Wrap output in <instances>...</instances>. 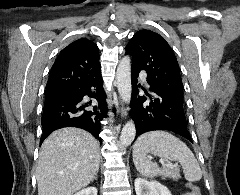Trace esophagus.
<instances>
[{
    "instance_id": "1",
    "label": "esophagus",
    "mask_w": 240,
    "mask_h": 195,
    "mask_svg": "<svg viewBox=\"0 0 240 195\" xmlns=\"http://www.w3.org/2000/svg\"><path fill=\"white\" fill-rule=\"evenodd\" d=\"M120 113H121V116L122 117H125V115H126V110H125V108H124V105H123V102H122V100H120Z\"/></svg>"
}]
</instances>
